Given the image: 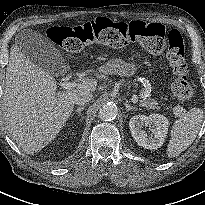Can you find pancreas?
Segmentation results:
<instances>
[{
  "label": "pancreas",
  "instance_id": "1",
  "mask_svg": "<svg viewBox=\"0 0 205 205\" xmlns=\"http://www.w3.org/2000/svg\"><path fill=\"white\" fill-rule=\"evenodd\" d=\"M147 95H149L148 89H145L141 92L140 106L145 107L147 109L159 110L160 106H158V102L154 99H151Z\"/></svg>",
  "mask_w": 205,
  "mask_h": 205
}]
</instances>
